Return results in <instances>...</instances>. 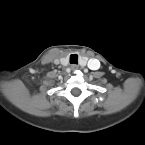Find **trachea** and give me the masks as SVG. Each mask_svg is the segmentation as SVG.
<instances>
[{
	"label": "trachea",
	"mask_w": 145,
	"mask_h": 145,
	"mask_svg": "<svg viewBox=\"0 0 145 145\" xmlns=\"http://www.w3.org/2000/svg\"><path fill=\"white\" fill-rule=\"evenodd\" d=\"M70 63L71 64H78V55L77 54L70 55Z\"/></svg>",
	"instance_id": "1"
}]
</instances>
